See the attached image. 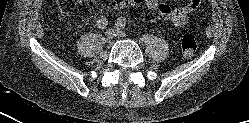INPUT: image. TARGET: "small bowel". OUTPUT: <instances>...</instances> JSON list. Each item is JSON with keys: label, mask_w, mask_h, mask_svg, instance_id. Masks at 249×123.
Listing matches in <instances>:
<instances>
[{"label": "small bowel", "mask_w": 249, "mask_h": 123, "mask_svg": "<svg viewBox=\"0 0 249 123\" xmlns=\"http://www.w3.org/2000/svg\"><path fill=\"white\" fill-rule=\"evenodd\" d=\"M201 3L202 0H189L185 5L172 7L161 0H114L109 9L115 11L128 6L144 5L148 9L158 12L165 20L171 22L174 28L179 29L187 23L189 16L200 8Z\"/></svg>", "instance_id": "obj_1"}]
</instances>
